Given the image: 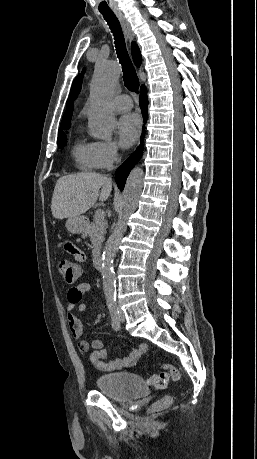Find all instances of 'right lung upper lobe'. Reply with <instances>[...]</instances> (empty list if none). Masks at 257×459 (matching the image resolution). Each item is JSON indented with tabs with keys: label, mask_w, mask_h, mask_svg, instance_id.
<instances>
[{
	"label": "right lung upper lobe",
	"mask_w": 257,
	"mask_h": 459,
	"mask_svg": "<svg viewBox=\"0 0 257 459\" xmlns=\"http://www.w3.org/2000/svg\"><path fill=\"white\" fill-rule=\"evenodd\" d=\"M131 49H132V56H133L134 63L136 64L137 67H139L141 62H142V57H141V54H140V50H139V48L137 47V45L134 42L132 43ZM72 110H73V105L68 104L67 105V110H66V112H65V114L63 116V120L61 122V127L59 129V132L65 130V129H68L70 127V121H71V117H72Z\"/></svg>",
	"instance_id": "cb5924a9"
}]
</instances>
